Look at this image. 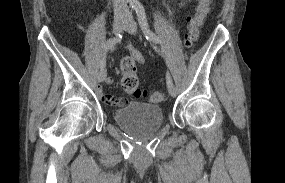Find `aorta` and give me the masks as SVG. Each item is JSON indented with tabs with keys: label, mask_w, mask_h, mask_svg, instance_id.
Listing matches in <instances>:
<instances>
[{
	"label": "aorta",
	"mask_w": 285,
	"mask_h": 183,
	"mask_svg": "<svg viewBox=\"0 0 285 183\" xmlns=\"http://www.w3.org/2000/svg\"><path fill=\"white\" fill-rule=\"evenodd\" d=\"M132 8H138L141 6L139 0H128Z\"/></svg>",
	"instance_id": "1"
}]
</instances>
